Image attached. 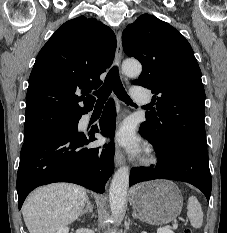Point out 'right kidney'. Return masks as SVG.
Here are the masks:
<instances>
[{"label":"right kidney","mask_w":227,"mask_h":233,"mask_svg":"<svg viewBox=\"0 0 227 233\" xmlns=\"http://www.w3.org/2000/svg\"><path fill=\"white\" fill-rule=\"evenodd\" d=\"M56 233H69V228L63 227V228L59 229Z\"/></svg>","instance_id":"right-kidney-1"}]
</instances>
